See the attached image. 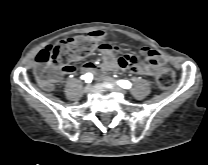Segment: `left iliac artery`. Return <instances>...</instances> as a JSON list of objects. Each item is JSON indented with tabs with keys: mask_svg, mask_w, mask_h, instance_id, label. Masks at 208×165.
<instances>
[{
	"mask_svg": "<svg viewBox=\"0 0 208 165\" xmlns=\"http://www.w3.org/2000/svg\"><path fill=\"white\" fill-rule=\"evenodd\" d=\"M118 84L124 89H129L131 87V83L127 80H119Z\"/></svg>",
	"mask_w": 208,
	"mask_h": 165,
	"instance_id": "44dca946",
	"label": "left iliac artery"
}]
</instances>
